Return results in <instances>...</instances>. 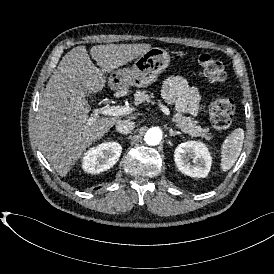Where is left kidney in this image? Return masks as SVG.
I'll return each mask as SVG.
<instances>
[{
    "mask_svg": "<svg viewBox=\"0 0 274 274\" xmlns=\"http://www.w3.org/2000/svg\"><path fill=\"white\" fill-rule=\"evenodd\" d=\"M174 161L183 174L194 178L206 177L211 166L210 154L200 142L180 144L174 151Z\"/></svg>",
    "mask_w": 274,
    "mask_h": 274,
    "instance_id": "left-kidney-1",
    "label": "left kidney"
}]
</instances>
